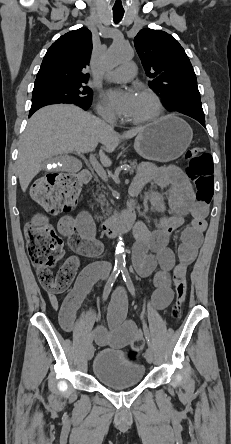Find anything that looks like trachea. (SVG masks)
<instances>
[{"label":"trachea","instance_id":"3493384b","mask_svg":"<svg viewBox=\"0 0 231 444\" xmlns=\"http://www.w3.org/2000/svg\"><path fill=\"white\" fill-rule=\"evenodd\" d=\"M124 15V10H113V19L114 22L117 24L119 23Z\"/></svg>","mask_w":231,"mask_h":444}]
</instances>
